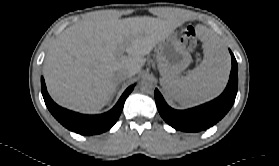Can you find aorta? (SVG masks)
Listing matches in <instances>:
<instances>
[{"label":"aorta","mask_w":279,"mask_h":166,"mask_svg":"<svg viewBox=\"0 0 279 166\" xmlns=\"http://www.w3.org/2000/svg\"><path fill=\"white\" fill-rule=\"evenodd\" d=\"M140 90L144 93H152L154 91L153 82L148 78H144L140 83Z\"/></svg>","instance_id":"762f6f07"}]
</instances>
